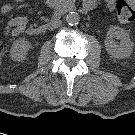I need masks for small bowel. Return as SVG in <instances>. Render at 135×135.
Here are the masks:
<instances>
[{
  "label": "small bowel",
  "mask_w": 135,
  "mask_h": 135,
  "mask_svg": "<svg viewBox=\"0 0 135 135\" xmlns=\"http://www.w3.org/2000/svg\"><path fill=\"white\" fill-rule=\"evenodd\" d=\"M15 2H21L22 0H14ZM59 0H46V4L49 6H54L58 3ZM90 4H92V7H94V1L93 0H86ZM107 7L109 9H112L115 5V0H104ZM90 8V9H91ZM12 9V6L8 3H5L2 5L1 10L3 13H7ZM27 18L23 16H17L13 19H11L8 22L7 28H6V34L10 33L12 36H18L19 34L23 33L27 28ZM128 24V23H125Z\"/></svg>",
  "instance_id": "obj_1"
}]
</instances>
